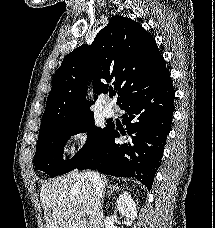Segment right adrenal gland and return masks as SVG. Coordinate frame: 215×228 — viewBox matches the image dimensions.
Segmentation results:
<instances>
[{"mask_svg":"<svg viewBox=\"0 0 215 228\" xmlns=\"http://www.w3.org/2000/svg\"><path fill=\"white\" fill-rule=\"evenodd\" d=\"M119 190H120V186H117V184L116 186H111L109 196H113V192H119Z\"/></svg>","mask_w":215,"mask_h":228,"instance_id":"2a0ac1e0","label":"right adrenal gland"}]
</instances>
